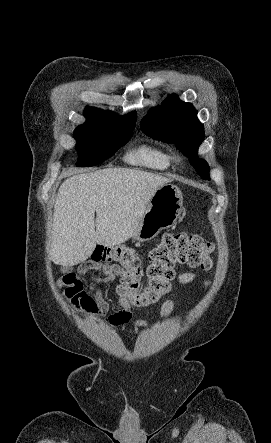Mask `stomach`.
<instances>
[{
	"mask_svg": "<svg viewBox=\"0 0 271 443\" xmlns=\"http://www.w3.org/2000/svg\"><path fill=\"white\" fill-rule=\"evenodd\" d=\"M183 210L181 190L172 184H165L155 190L148 202V208L132 235L138 241L153 239L161 229L172 227Z\"/></svg>",
	"mask_w": 271,
	"mask_h": 443,
	"instance_id": "obj_1",
	"label": "stomach"
}]
</instances>
